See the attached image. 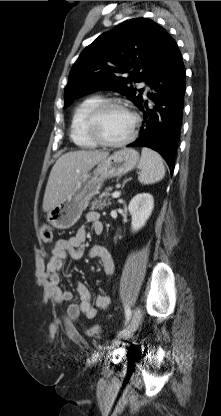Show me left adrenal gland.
Returning <instances> with one entry per match:
<instances>
[{
    "mask_svg": "<svg viewBox=\"0 0 221 416\" xmlns=\"http://www.w3.org/2000/svg\"><path fill=\"white\" fill-rule=\"evenodd\" d=\"M129 180H131V178L124 180V181H123V184H122V187H124L125 183H126L127 181H129Z\"/></svg>",
    "mask_w": 221,
    "mask_h": 416,
    "instance_id": "obj_1",
    "label": "left adrenal gland"
}]
</instances>
